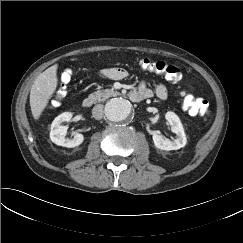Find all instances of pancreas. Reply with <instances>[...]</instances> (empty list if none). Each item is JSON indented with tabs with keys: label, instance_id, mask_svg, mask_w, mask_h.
I'll return each mask as SVG.
<instances>
[{
	"label": "pancreas",
	"instance_id": "1",
	"mask_svg": "<svg viewBox=\"0 0 243 243\" xmlns=\"http://www.w3.org/2000/svg\"><path fill=\"white\" fill-rule=\"evenodd\" d=\"M120 93L112 89L98 90L89 95V99L93 100L95 103L104 102L106 99L114 96H118Z\"/></svg>",
	"mask_w": 243,
	"mask_h": 243
}]
</instances>
